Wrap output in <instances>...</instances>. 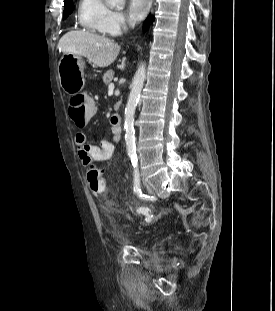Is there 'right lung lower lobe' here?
<instances>
[{
    "instance_id": "98d812e1",
    "label": "right lung lower lobe",
    "mask_w": 275,
    "mask_h": 311,
    "mask_svg": "<svg viewBox=\"0 0 275 311\" xmlns=\"http://www.w3.org/2000/svg\"><path fill=\"white\" fill-rule=\"evenodd\" d=\"M149 22H150V16L145 20L144 24H143V29L146 30L149 26Z\"/></svg>"
}]
</instances>
